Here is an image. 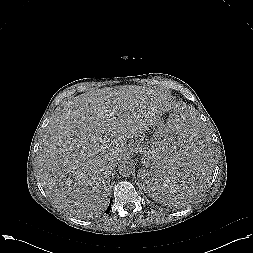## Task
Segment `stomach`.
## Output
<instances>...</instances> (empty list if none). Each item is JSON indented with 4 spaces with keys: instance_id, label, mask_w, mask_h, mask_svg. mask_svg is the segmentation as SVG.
Segmentation results:
<instances>
[{
    "instance_id": "1",
    "label": "stomach",
    "mask_w": 253,
    "mask_h": 253,
    "mask_svg": "<svg viewBox=\"0 0 253 253\" xmlns=\"http://www.w3.org/2000/svg\"><path fill=\"white\" fill-rule=\"evenodd\" d=\"M168 132V126L159 119L152 122L143 134L139 135L130 143V150L142 155V159H145L152 151V147L156 138L162 133Z\"/></svg>"
}]
</instances>
